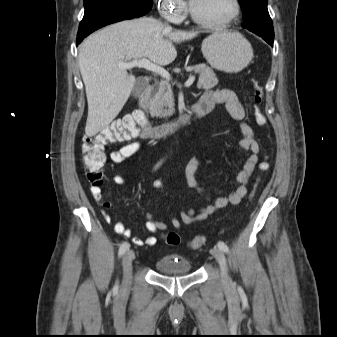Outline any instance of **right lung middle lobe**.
<instances>
[{
	"label": "right lung middle lobe",
	"instance_id": "dd1d6c3e",
	"mask_svg": "<svg viewBox=\"0 0 337 337\" xmlns=\"http://www.w3.org/2000/svg\"><path fill=\"white\" fill-rule=\"evenodd\" d=\"M90 1L92 0H84V6L89 3ZM131 1H134V2H137V3H150L152 2V0H131Z\"/></svg>",
	"mask_w": 337,
	"mask_h": 337
}]
</instances>
